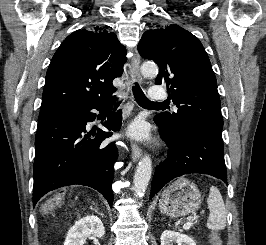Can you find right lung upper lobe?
Here are the masks:
<instances>
[{"instance_id":"right-lung-upper-lobe-1","label":"right lung upper lobe","mask_w":266,"mask_h":245,"mask_svg":"<svg viewBox=\"0 0 266 245\" xmlns=\"http://www.w3.org/2000/svg\"><path fill=\"white\" fill-rule=\"evenodd\" d=\"M126 50L103 28L79 29L54 54L46 73L38 121L78 105L111 97L122 75Z\"/></svg>"}]
</instances>
